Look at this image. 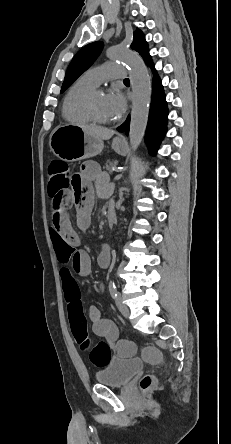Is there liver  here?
Here are the masks:
<instances>
[{"instance_id":"1","label":"liver","mask_w":231,"mask_h":444,"mask_svg":"<svg viewBox=\"0 0 231 444\" xmlns=\"http://www.w3.org/2000/svg\"><path fill=\"white\" fill-rule=\"evenodd\" d=\"M78 126L81 127L88 134H91L101 140H108L115 133V131H113V130L103 128V127L93 126V125L82 124V125H78Z\"/></svg>"}]
</instances>
